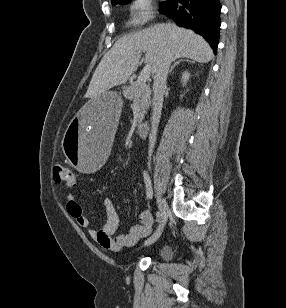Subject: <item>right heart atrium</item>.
<instances>
[{
  "instance_id": "1",
  "label": "right heart atrium",
  "mask_w": 286,
  "mask_h": 308,
  "mask_svg": "<svg viewBox=\"0 0 286 308\" xmlns=\"http://www.w3.org/2000/svg\"><path fill=\"white\" fill-rule=\"evenodd\" d=\"M129 13L131 20L138 25L148 22L153 16L152 0H130Z\"/></svg>"
}]
</instances>
